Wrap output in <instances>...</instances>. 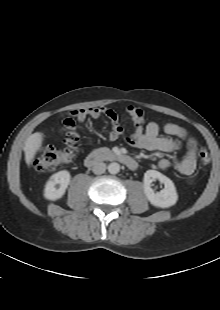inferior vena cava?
I'll use <instances>...</instances> for the list:
<instances>
[{"label": "inferior vena cava", "mask_w": 220, "mask_h": 310, "mask_svg": "<svg viewBox=\"0 0 220 310\" xmlns=\"http://www.w3.org/2000/svg\"><path fill=\"white\" fill-rule=\"evenodd\" d=\"M92 171L96 175L103 174L106 171V164L104 162H95Z\"/></svg>", "instance_id": "602c4592"}]
</instances>
